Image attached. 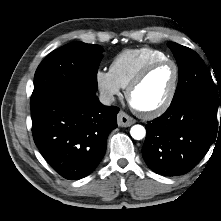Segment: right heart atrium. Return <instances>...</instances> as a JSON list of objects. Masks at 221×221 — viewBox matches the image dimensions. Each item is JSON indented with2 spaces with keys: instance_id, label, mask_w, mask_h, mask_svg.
Instances as JSON below:
<instances>
[{
  "instance_id": "right-heart-atrium-1",
  "label": "right heart atrium",
  "mask_w": 221,
  "mask_h": 221,
  "mask_svg": "<svg viewBox=\"0 0 221 221\" xmlns=\"http://www.w3.org/2000/svg\"><path fill=\"white\" fill-rule=\"evenodd\" d=\"M95 82L103 98L110 102L121 92V87L115 81L110 71L98 69L95 73Z\"/></svg>"
}]
</instances>
